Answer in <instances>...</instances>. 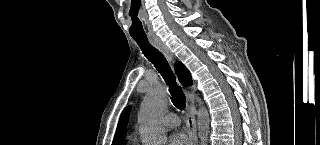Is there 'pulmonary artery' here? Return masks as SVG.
Returning a JSON list of instances; mask_svg holds the SVG:
<instances>
[{"label": "pulmonary artery", "instance_id": "obj_1", "mask_svg": "<svg viewBox=\"0 0 320 145\" xmlns=\"http://www.w3.org/2000/svg\"><path fill=\"white\" fill-rule=\"evenodd\" d=\"M164 124L166 127L175 128L180 125V118L174 113H169L164 117Z\"/></svg>", "mask_w": 320, "mask_h": 145}]
</instances>
